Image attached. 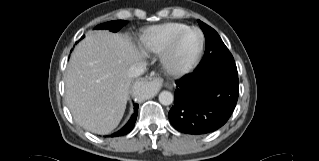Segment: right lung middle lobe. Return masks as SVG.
Masks as SVG:
<instances>
[{
  "label": "right lung middle lobe",
  "mask_w": 319,
  "mask_h": 161,
  "mask_svg": "<svg viewBox=\"0 0 319 161\" xmlns=\"http://www.w3.org/2000/svg\"><path fill=\"white\" fill-rule=\"evenodd\" d=\"M125 24H126V21H124V20H115V21H110L107 23L100 24V25L96 26L95 29H109L112 32H117Z\"/></svg>",
  "instance_id": "1"
}]
</instances>
